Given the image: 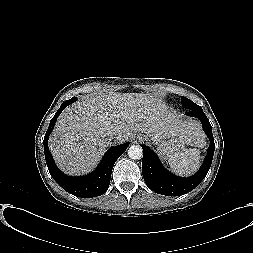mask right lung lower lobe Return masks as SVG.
<instances>
[{
    "instance_id": "98d812e1",
    "label": "right lung lower lobe",
    "mask_w": 253,
    "mask_h": 253,
    "mask_svg": "<svg viewBox=\"0 0 253 253\" xmlns=\"http://www.w3.org/2000/svg\"><path fill=\"white\" fill-rule=\"evenodd\" d=\"M75 101H77V98L73 97L70 100L63 102L59 110L51 119L43 141L45 159L51 176L67 192L77 197H96L102 195L107 191L110 184L113 166L116 160L125 152L129 143L110 148L105 153L97 169L89 175L83 177H71L62 173L53 161L52 155L48 148V138L55 126L59 114L64 110L66 106L72 104Z\"/></svg>"
}]
</instances>
